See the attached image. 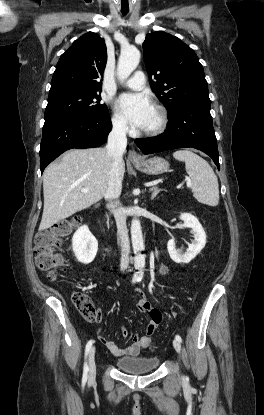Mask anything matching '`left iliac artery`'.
I'll return each mask as SVG.
<instances>
[{
  "mask_svg": "<svg viewBox=\"0 0 264 415\" xmlns=\"http://www.w3.org/2000/svg\"><path fill=\"white\" fill-rule=\"evenodd\" d=\"M138 281H141V279H139ZM175 338L179 341L182 342V338L180 337V335H176Z\"/></svg>",
  "mask_w": 264,
  "mask_h": 415,
  "instance_id": "obj_1",
  "label": "left iliac artery"
}]
</instances>
